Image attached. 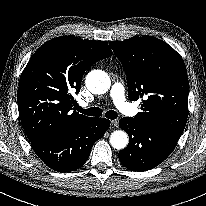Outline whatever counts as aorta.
I'll list each match as a JSON object with an SVG mask.
<instances>
[{
  "label": "aorta",
  "instance_id": "1",
  "mask_svg": "<svg viewBox=\"0 0 206 206\" xmlns=\"http://www.w3.org/2000/svg\"><path fill=\"white\" fill-rule=\"evenodd\" d=\"M111 81L107 73L101 70H93L86 77V86L94 94H103L110 88ZM110 144L113 148L121 150L128 144V136L122 130L114 131L110 136Z\"/></svg>",
  "mask_w": 206,
  "mask_h": 206
}]
</instances>
